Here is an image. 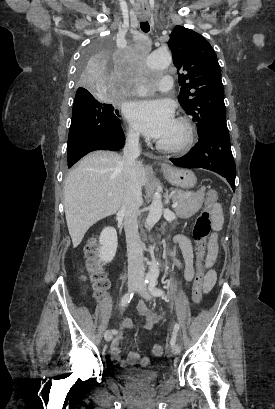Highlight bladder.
<instances>
[{"label": "bladder", "mask_w": 275, "mask_h": 409, "mask_svg": "<svg viewBox=\"0 0 275 409\" xmlns=\"http://www.w3.org/2000/svg\"><path fill=\"white\" fill-rule=\"evenodd\" d=\"M160 378V373L150 369L125 368L120 373V382H136L141 385L151 386Z\"/></svg>", "instance_id": "obj_1"}]
</instances>
